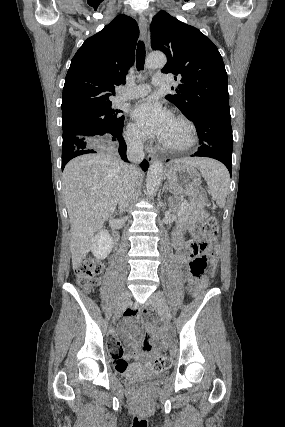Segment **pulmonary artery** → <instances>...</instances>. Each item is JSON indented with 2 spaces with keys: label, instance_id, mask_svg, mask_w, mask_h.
I'll return each instance as SVG.
<instances>
[{
  "label": "pulmonary artery",
  "instance_id": "obj_1",
  "mask_svg": "<svg viewBox=\"0 0 285 427\" xmlns=\"http://www.w3.org/2000/svg\"><path fill=\"white\" fill-rule=\"evenodd\" d=\"M169 83L168 77L162 74L154 75L152 84L154 86L167 85ZM151 86L147 83L136 85L132 89L124 88L119 96L120 100H131L139 97L146 96L150 93Z\"/></svg>",
  "mask_w": 285,
  "mask_h": 427
}]
</instances>
